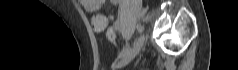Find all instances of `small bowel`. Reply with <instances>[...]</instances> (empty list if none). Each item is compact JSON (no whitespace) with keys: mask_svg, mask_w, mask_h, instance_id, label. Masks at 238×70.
<instances>
[{"mask_svg":"<svg viewBox=\"0 0 238 70\" xmlns=\"http://www.w3.org/2000/svg\"><path fill=\"white\" fill-rule=\"evenodd\" d=\"M118 0H113V3L117 4ZM81 5L83 8L88 12H97L101 6L103 1L102 0H80ZM114 16L112 14H101L96 13L92 17V26L96 32H101L106 29L108 26L109 21H112Z\"/></svg>","mask_w":238,"mask_h":70,"instance_id":"c3829d8e","label":"small bowel"}]
</instances>
